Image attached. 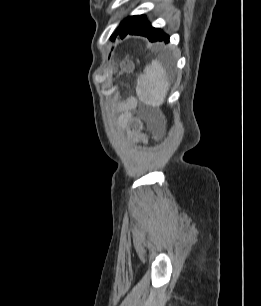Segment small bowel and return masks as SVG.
I'll return each instance as SVG.
<instances>
[{"instance_id": "obj_1", "label": "small bowel", "mask_w": 261, "mask_h": 306, "mask_svg": "<svg viewBox=\"0 0 261 306\" xmlns=\"http://www.w3.org/2000/svg\"><path fill=\"white\" fill-rule=\"evenodd\" d=\"M135 107L134 101H129L121 106L120 122L127 127L128 134L136 141L145 142L146 136L142 133V124L139 120L131 116V109Z\"/></svg>"}]
</instances>
